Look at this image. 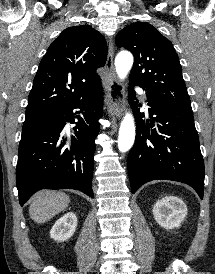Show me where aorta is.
Returning <instances> with one entry per match:
<instances>
[{
    "instance_id": "762f6f07",
    "label": "aorta",
    "mask_w": 215,
    "mask_h": 274,
    "mask_svg": "<svg viewBox=\"0 0 215 274\" xmlns=\"http://www.w3.org/2000/svg\"><path fill=\"white\" fill-rule=\"evenodd\" d=\"M133 65V56L127 51L120 52L115 59V68L120 79H124ZM135 124L133 116L126 113L119 129L118 148L127 152L134 144Z\"/></svg>"
}]
</instances>
